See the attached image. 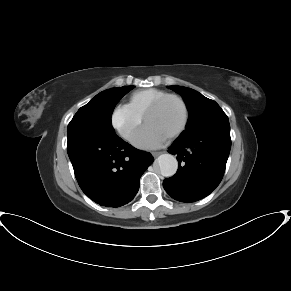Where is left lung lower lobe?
<instances>
[{"instance_id": "obj_1", "label": "left lung lower lobe", "mask_w": 291, "mask_h": 291, "mask_svg": "<svg viewBox=\"0 0 291 291\" xmlns=\"http://www.w3.org/2000/svg\"><path fill=\"white\" fill-rule=\"evenodd\" d=\"M230 148L229 122L177 138L168 152L177 156L178 172L163 181L164 189L186 203L208 196L222 180Z\"/></svg>"}]
</instances>
